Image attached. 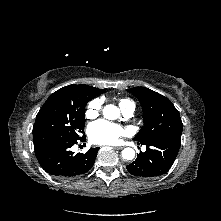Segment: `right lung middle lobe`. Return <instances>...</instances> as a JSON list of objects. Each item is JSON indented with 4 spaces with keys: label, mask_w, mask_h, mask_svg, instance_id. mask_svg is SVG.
Wrapping results in <instances>:
<instances>
[{
    "label": "right lung middle lobe",
    "mask_w": 221,
    "mask_h": 221,
    "mask_svg": "<svg viewBox=\"0 0 221 221\" xmlns=\"http://www.w3.org/2000/svg\"><path fill=\"white\" fill-rule=\"evenodd\" d=\"M86 95L54 92L36 116L33 127L34 149L55 141L74 142L84 133Z\"/></svg>",
    "instance_id": "1"
}]
</instances>
